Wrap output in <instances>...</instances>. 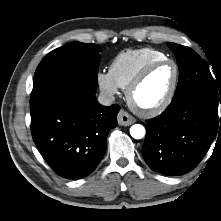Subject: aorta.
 Wrapping results in <instances>:
<instances>
[{"label":"aorta","instance_id":"1","mask_svg":"<svg viewBox=\"0 0 221 221\" xmlns=\"http://www.w3.org/2000/svg\"><path fill=\"white\" fill-rule=\"evenodd\" d=\"M145 128L141 124H134L130 128V135L134 139H142L145 136Z\"/></svg>","mask_w":221,"mask_h":221}]
</instances>
